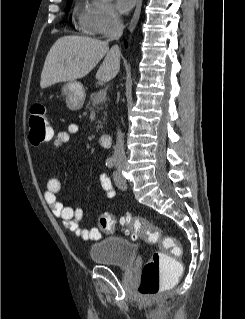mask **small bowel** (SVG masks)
<instances>
[{
  "instance_id": "small-bowel-1",
  "label": "small bowel",
  "mask_w": 245,
  "mask_h": 319,
  "mask_svg": "<svg viewBox=\"0 0 245 319\" xmlns=\"http://www.w3.org/2000/svg\"><path fill=\"white\" fill-rule=\"evenodd\" d=\"M79 127L76 124H70L65 130L60 131L54 139V147H60L67 143L71 136L78 133ZM101 187L105 193L106 198L113 199L116 192L112 186L109 177L102 173L99 176ZM61 190L60 179L53 175L46 185L44 198L55 217L62 221V225L72 233L81 236L84 240L92 242L102 238V231L98 227H91L87 229L80 228V221L83 218V209L80 206L71 207L63 204L58 199V194Z\"/></svg>"
}]
</instances>
